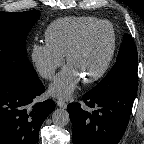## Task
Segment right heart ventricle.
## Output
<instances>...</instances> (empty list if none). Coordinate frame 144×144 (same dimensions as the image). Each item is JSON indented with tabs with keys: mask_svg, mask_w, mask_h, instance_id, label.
<instances>
[{
	"mask_svg": "<svg viewBox=\"0 0 144 144\" xmlns=\"http://www.w3.org/2000/svg\"><path fill=\"white\" fill-rule=\"evenodd\" d=\"M100 21L90 16L64 17L53 21L45 31L46 43L65 56L76 36L86 27Z\"/></svg>",
	"mask_w": 144,
	"mask_h": 144,
	"instance_id": "obj_1",
	"label": "right heart ventricle"
}]
</instances>
